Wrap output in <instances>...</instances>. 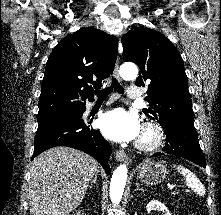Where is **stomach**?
<instances>
[{
  "mask_svg": "<svg viewBox=\"0 0 221 215\" xmlns=\"http://www.w3.org/2000/svg\"><path fill=\"white\" fill-rule=\"evenodd\" d=\"M167 174V168L160 162H145L138 170V178L144 184H158Z\"/></svg>",
  "mask_w": 221,
  "mask_h": 215,
  "instance_id": "1",
  "label": "stomach"
}]
</instances>
